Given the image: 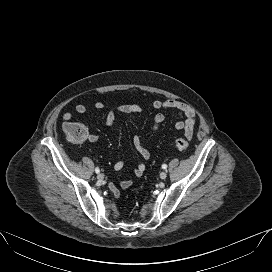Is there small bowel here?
<instances>
[{
    "instance_id": "small-bowel-1",
    "label": "small bowel",
    "mask_w": 272,
    "mask_h": 272,
    "mask_svg": "<svg viewBox=\"0 0 272 272\" xmlns=\"http://www.w3.org/2000/svg\"><path fill=\"white\" fill-rule=\"evenodd\" d=\"M152 106L156 110H174L176 111L180 116L185 117V121H177L174 125V128L177 131H183L185 135L187 133H190V139H192L194 135V127L196 123V112L194 108L189 106L188 104L170 99V100H160L156 99L153 101ZM94 107L97 110H102L105 105L101 101H97L94 104ZM75 111L79 114H84L87 109L85 105L83 104H78L75 107ZM142 111L141 106L137 104H120L118 106H115L114 108L110 109L105 117V123L107 126H112L116 120V116L118 113H123V114H137ZM73 117V114L71 112H65L63 114V120L65 123L69 122ZM165 116L162 113H158L154 117L153 121V126H152V134H156L161 126V124L164 122ZM98 140V136L96 134H90L88 136V141L91 143H95ZM133 144L135 149L137 150L138 154L144 159L148 160L151 156L149 150L146 147L145 141L140 137V136H135L133 138ZM124 167V162L123 161H117L114 164V170L115 171H120ZM145 171V165L144 163H139L137 167L134 169V175L136 177H141ZM132 185V181L125 179L122 180L119 183V186L122 189H127ZM110 190L112 191L113 195L115 198H118L120 196V191L119 189L114 186L110 185Z\"/></svg>"
}]
</instances>
